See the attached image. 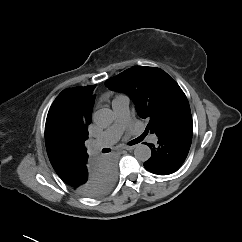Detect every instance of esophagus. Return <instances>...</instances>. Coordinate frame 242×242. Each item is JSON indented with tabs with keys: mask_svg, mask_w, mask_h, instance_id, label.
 Segmentation results:
<instances>
[{
	"mask_svg": "<svg viewBox=\"0 0 242 242\" xmlns=\"http://www.w3.org/2000/svg\"><path fill=\"white\" fill-rule=\"evenodd\" d=\"M133 148L134 146H130V145L123 146V149H126V150H132Z\"/></svg>",
	"mask_w": 242,
	"mask_h": 242,
	"instance_id": "1",
	"label": "esophagus"
}]
</instances>
